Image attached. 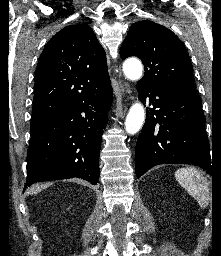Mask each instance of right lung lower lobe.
Instances as JSON below:
<instances>
[{"label": "right lung lower lobe", "mask_w": 221, "mask_h": 256, "mask_svg": "<svg viewBox=\"0 0 221 256\" xmlns=\"http://www.w3.org/2000/svg\"><path fill=\"white\" fill-rule=\"evenodd\" d=\"M112 96L110 85L90 98L32 119L26 187L73 177L98 183L100 146Z\"/></svg>", "instance_id": "98d812e1"}]
</instances>
